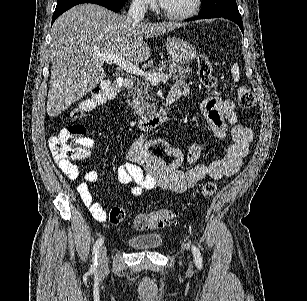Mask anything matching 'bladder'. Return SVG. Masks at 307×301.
I'll return each instance as SVG.
<instances>
[{
	"label": "bladder",
	"instance_id": "31cf9c89",
	"mask_svg": "<svg viewBox=\"0 0 307 301\" xmlns=\"http://www.w3.org/2000/svg\"><path fill=\"white\" fill-rule=\"evenodd\" d=\"M127 243L133 251L158 250L162 246V235H131Z\"/></svg>",
	"mask_w": 307,
	"mask_h": 301
}]
</instances>
